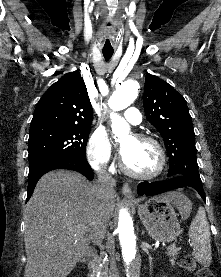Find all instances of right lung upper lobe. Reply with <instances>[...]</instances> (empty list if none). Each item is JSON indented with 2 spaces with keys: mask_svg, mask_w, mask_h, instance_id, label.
Segmentation results:
<instances>
[{
  "mask_svg": "<svg viewBox=\"0 0 221 277\" xmlns=\"http://www.w3.org/2000/svg\"><path fill=\"white\" fill-rule=\"evenodd\" d=\"M92 106L78 71L65 74L39 100L30 126H91Z\"/></svg>",
  "mask_w": 221,
  "mask_h": 277,
  "instance_id": "obj_1",
  "label": "right lung upper lobe"
}]
</instances>
